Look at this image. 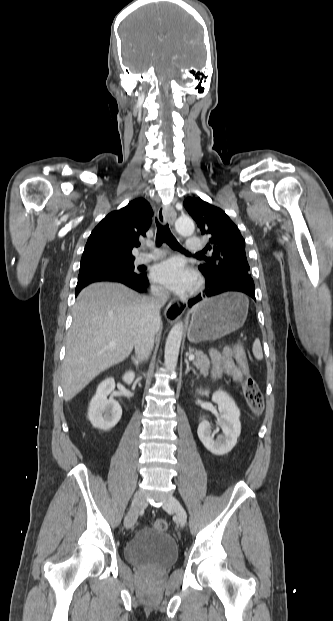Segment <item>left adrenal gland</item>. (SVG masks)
<instances>
[{"mask_svg": "<svg viewBox=\"0 0 333 621\" xmlns=\"http://www.w3.org/2000/svg\"><path fill=\"white\" fill-rule=\"evenodd\" d=\"M185 363H186V371L185 374L187 375L190 371L193 372V374L199 376V373L191 366H189V361L187 359H185Z\"/></svg>", "mask_w": 333, "mask_h": 621, "instance_id": "left-adrenal-gland-1", "label": "left adrenal gland"}]
</instances>
